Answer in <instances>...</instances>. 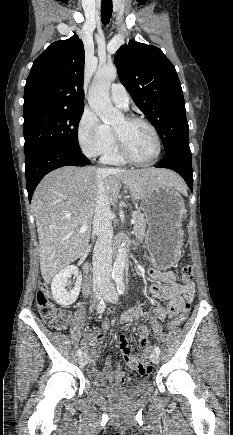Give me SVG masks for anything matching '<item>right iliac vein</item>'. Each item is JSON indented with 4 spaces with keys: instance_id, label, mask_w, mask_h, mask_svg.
Masks as SVG:
<instances>
[{
    "instance_id": "1",
    "label": "right iliac vein",
    "mask_w": 233,
    "mask_h": 435,
    "mask_svg": "<svg viewBox=\"0 0 233 435\" xmlns=\"http://www.w3.org/2000/svg\"><path fill=\"white\" fill-rule=\"evenodd\" d=\"M103 295H104V290H103V289L100 290V291H97V292L95 293V297H96V299H98V300H100V299L103 297ZM88 360H89V357H88L87 354H82V355L79 357V363H80L81 366H85V365L88 363Z\"/></svg>"
}]
</instances>
